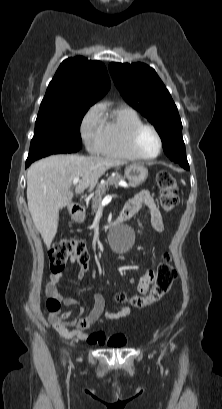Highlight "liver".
Here are the masks:
<instances>
[{
    "label": "liver",
    "instance_id": "6515ba94",
    "mask_svg": "<svg viewBox=\"0 0 222 409\" xmlns=\"http://www.w3.org/2000/svg\"><path fill=\"white\" fill-rule=\"evenodd\" d=\"M124 164L110 157L53 155L30 166L28 208L48 249L57 233L60 209L71 204L73 180L80 178L75 191L80 194L87 188L93 189L108 169Z\"/></svg>",
    "mask_w": 222,
    "mask_h": 409
}]
</instances>
